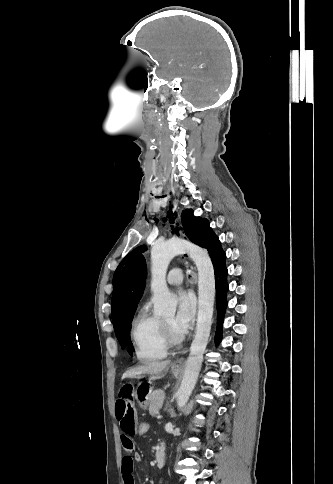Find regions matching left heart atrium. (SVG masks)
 <instances>
[{"label":"left heart atrium","instance_id":"left-heart-atrium-1","mask_svg":"<svg viewBox=\"0 0 333 484\" xmlns=\"http://www.w3.org/2000/svg\"><path fill=\"white\" fill-rule=\"evenodd\" d=\"M196 303L193 295L186 291L177 294V311L173 318V328L177 333H185L191 326Z\"/></svg>","mask_w":333,"mask_h":484}]
</instances>
